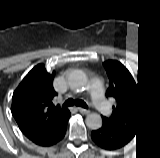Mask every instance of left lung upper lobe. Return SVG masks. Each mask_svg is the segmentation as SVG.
<instances>
[{"label": "left lung upper lobe", "instance_id": "5c2ea615", "mask_svg": "<svg viewBox=\"0 0 160 158\" xmlns=\"http://www.w3.org/2000/svg\"><path fill=\"white\" fill-rule=\"evenodd\" d=\"M109 77L105 96L114 102L112 113L103 116V122L123 131L137 134L145 113L144 96L129 71L117 61L104 64Z\"/></svg>", "mask_w": 160, "mask_h": 158}]
</instances>
